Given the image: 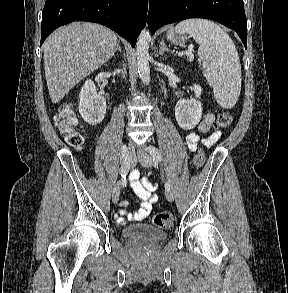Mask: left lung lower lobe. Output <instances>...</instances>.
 <instances>
[{
	"label": "left lung lower lobe",
	"instance_id": "left-lung-lower-lobe-1",
	"mask_svg": "<svg viewBox=\"0 0 288 293\" xmlns=\"http://www.w3.org/2000/svg\"><path fill=\"white\" fill-rule=\"evenodd\" d=\"M189 18L215 20L233 29L247 46L243 0H150L147 22L151 34L166 24Z\"/></svg>",
	"mask_w": 288,
	"mask_h": 293
}]
</instances>
